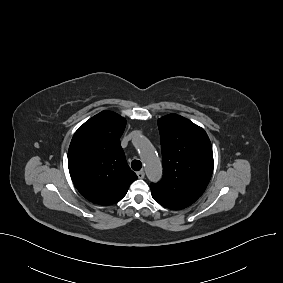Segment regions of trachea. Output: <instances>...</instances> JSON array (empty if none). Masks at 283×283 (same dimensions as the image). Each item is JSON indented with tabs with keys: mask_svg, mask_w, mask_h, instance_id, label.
Here are the masks:
<instances>
[{
	"mask_svg": "<svg viewBox=\"0 0 283 283\" xmlns=\"http://www.w3.org/2000/svg\"><path fill=\"white\" fill-rule=\"evenodd\" d=\"M131 167L134 171H139L142 167V163L139 160H133L131 162Z\"/></svg>",
	"mask_w": 283,
	"mask_h": 283,
	"instance_id": "trachea-1",
	"label": "trachea"
}]
</instances>
